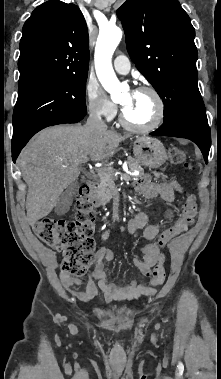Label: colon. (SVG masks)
I'll use <instances>...</instances> for the list:
<instances>
[{
	"label": "colon",
	"mask_w": 221,
	"mask_h": 379,
	"mask_svg": "<svg viewBox=\"0 0 221 379\" xmlns=\"http://www.w3.org/2000/svg\"><path fill=\"white\" fill-rule=\"evenodd\" d=\"M171 163L183 165L186 169L192 167L186 162L185 153L172 148L169 151ZM96 202L81 188L76 196V217L73 220L45 218L33 225L35 234L51 248L62 251V270L72 276H81L92 264L94 241L92 235L95 230ZM198 204L195 195L187 197L182 206L180 218L175 224L163 230L158 238L160 247H164L174 237L185 232L193 224L197 215ZM165 257L159 256V262L152 273L151 283L161 285L165 280Z\"/></svg>",
	"instance_id": "obj_1"
}]
</instances>
